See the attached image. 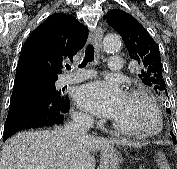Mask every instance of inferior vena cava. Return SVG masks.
Listing matches in <instances>:
<instances>
[{
    "mask_svg": "<svg viewBox=\"0 0 177 169\" xmlns=\"http://www.w3.org/2000/svg\"><path fill=\"white\" fill-rule=\"evenodd\" d=\"M93 123L94 121L90 116L80 115L75 117L72 123L64 127V132L73 137H87V132Z\"/></svg>",
    "mask_w": 177,
    "mask_h": 169,
    "instance_id": "inferior-vena-cava-1",
    "label": "inferior vena cava"
}]
</instances>
